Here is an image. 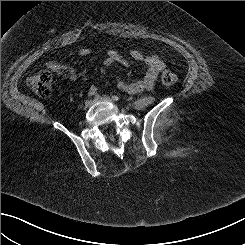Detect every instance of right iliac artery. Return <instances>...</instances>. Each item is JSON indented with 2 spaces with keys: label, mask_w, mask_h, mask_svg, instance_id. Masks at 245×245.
I'll use <instances>...</instances> for the list:
<instances>
[{
  "label": "right iliac artery",
  "mask_w": 245,
  "mask_h": 245,
  "mask_svg": "<svg viewBox=\"0 0 245 245\" xmlns=\"http://www.w3.org/2000/svg\"><path fill=\"white\" fill-rule=\"evenodd\" d=\"M100 95L99 94H96L94 99L96 100Z\"/></svg>",
  "instance_id": "1"
}]
</instances>
